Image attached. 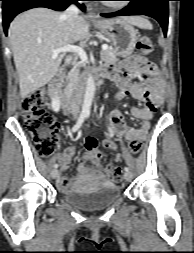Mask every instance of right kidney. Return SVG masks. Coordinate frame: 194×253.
Here are the masks:
<instances>
[{"label": "right kidney", "instance_id": "obj_1", "mask_svg": "<svg viewBox=\"0 0 194 253\" xmlns=\"http://www.w3.org/2000/svg\"><path fill=\"white\" fill-rule=\"evenodd\" d=\"M52 109L55 112H58L60 109V101L58 97H55L52 99V103H51Z\"/></svg>", "mask_w": 194, "mask_h": 253}]
</instances>
